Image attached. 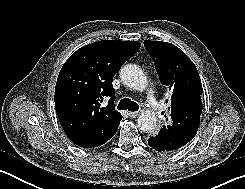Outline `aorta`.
Returning a JSON list of instances; mask_svg holds the SVG:
<instances>
[{
  "label": "aorta",
  "instance_id": "obj_1",
  "mask_svg": "<svg viewBox=\"0 0 245 189\" xmlns=\"http://www.w3.org/2000/svg\"><path fill=\"white\" fill-rule=\"evenodd\" d=\"M122 83L127 87L143 91L148 86L147 77L143 70L135 64H126L120 70ZM156 116L152 111H142L137 118L138 128L141 132H151L156 126Z\"/></svg>",
  "mask_w": 245,
  "mask_h": 189
}]
</instances>
